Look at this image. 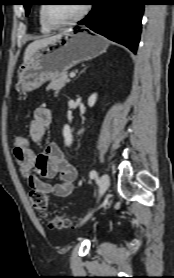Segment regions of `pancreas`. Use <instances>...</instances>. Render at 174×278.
Masks as SVG:
<instances>
[{
  "label": "pancreas",
  "instance_id": "cf45deb5",
  "mask_svg": "<svg viewBox=\"0 0 174 278\" xmlns=\"http://www.w3.org/2000/svg\"><path fill=\"white\" fill-rule=\"evenodd\" d=\"M68 82H69L68 74L67 73H63L59 77L53 79L51 81V83L47 86L46 90L49 91V90L52 89V90L58 92Z\"/></svg>",
  "mask_w": 174,
  "mask_h": 278
}]
</instances>
